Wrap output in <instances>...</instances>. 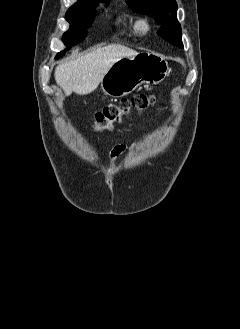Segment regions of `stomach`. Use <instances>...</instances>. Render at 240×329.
I'll return each instance as SVG.
<instances>
[{
    "label": "stomach",
    "mask_w": 240,
    "mask_h": 329,
    "mask_svg": "<svg viewBox=\"0 0 240 329\" xmlns=\"http://www.w3.org/2000/svg\"><path fill=\"white\" fill-rule=\"evenodd\" d=\"M169 72L168 62L160 54L141 52L115 62L103 76L101 88L108 96L123 97L143 83H160Z\"/></svg>",
    "instance_id": "0dacf381"
}]
</instances>
